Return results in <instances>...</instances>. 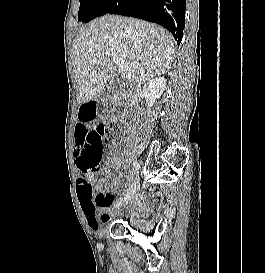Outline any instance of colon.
Masks as SVG:
<instances>
[{
    "label": "colon",
    "instance_id": "colon-1",
    "mask_svg": "<svg viewBox=\"0 0 265 273\" xmlns=\"http://www.w3.org/2000/svg\"><path fill=\"white\" fill-rule=\"evenodd\" d=\"M118 130V122L98 124L93 129H76V152L80 159L83 175L97 171L101 161V147L105 140L111 139ZM80 192L86 196L92 194L91 184L83 179Z\"/></svg>",
    "mask_w": 265,
    "mask_h": 273
}]
</instances>
